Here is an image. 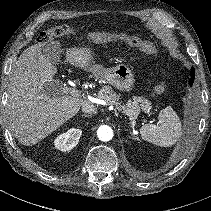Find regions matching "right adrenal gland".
I'll return each instance as SVG.
<instances>
[{
	"label": "right adrenal gland",
	"mask_w": 211,
	"mask_h": 211,
	"mask_svg": "<svg viewBox=\"0 0 211 211\" xmlns=\"http://www.w3.org/2000/svg\"><path fill=\"white\" fill-rule=\"evenodd\" d=\"M82 117H89V115L83 114Z\"/></svg>",
	"instance_id": "right-adrenal-gland-1"
}]
</instances>
